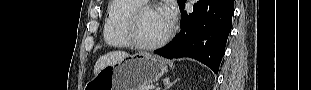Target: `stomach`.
Masks as SVG:
<instances>
[{
    "mask_svg": "<svg viewBox=\"0 0 311 90\" xmlns=\"http://www.w3.org/2000/svg\"><path fill=\"white\" fill-rule=\"evenodd\" d=\"M168 71L166 62L149 53H138L104 67L86 85L87 90H141Z\"/></svg>",
    "mask_w": 311,
    "mask_h": 90,
    "instance_id": "1",
    "label": "stomach"
}]
</instances>
